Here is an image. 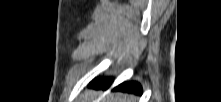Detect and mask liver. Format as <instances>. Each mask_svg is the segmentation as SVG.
I'll return each instance as SVG.
<instances>
[{"mask_svg":"<svg viewBox=\"0 0 221 102\" xmlns=\"http://www.w3.org/2000/svg\"><path fill=\"white\" fill-rule=\"evenodd\" d=\"M107 100H114L113 99V97H111L110 99H107ZM116 100H120V101H118V102H126L125 100H126V96L123 98V99H121L120 98V94H117V99ZM122 100V101H121ZM130 100H132V102H133V100H135L134 98H131ZM107 102H113V101H107Z\"/></svg>","mask_w":221,"mask_h":102,"instance_id":"6515ba94","label":"liver"}]
</instances>
